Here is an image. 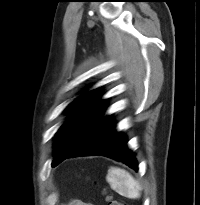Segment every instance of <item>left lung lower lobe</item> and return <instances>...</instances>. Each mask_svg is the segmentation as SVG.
Masks as SVG:
<instances>
[{"instance_id": "obj_1", "label": "left lung lower lobe", "mask_w": 200, "mask_h": 205, "mask_svg": "<svg viewBox=\"0 0 200 205\" xmlns=\"http://www.w3.org/2000/svg\"><path fill=\"white\" fill-rule=\"evenodd\" d=\"M114 128L111 116L102 117L63 160L75 156L102 155L121 161L137 171V161L134 154L127 148L126 137L116 132Z\"/></svg>"}]
</instances>
